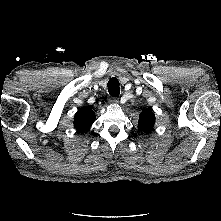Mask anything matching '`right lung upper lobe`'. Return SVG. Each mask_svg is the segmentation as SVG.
I'll use <instances>...</instances> for the list:
<instances>
[{
  "label": "right lung upper lobe",
  "instance_id": "right-lung-upper-lobe-1",
  "mask_svg": "<svg viewBox=\"0 0 221 221\" xmlns=\"http://www.w3.org/2000/svg\"><path fill=\"white\" fill-rule=\"evenodd\" d=\"M95 121V113L88 108L78 110L74 117V127L79 132H85Z\"/></svg>",
  "mask_w": 221,
  "mask_h": 221
}]
</instances>
